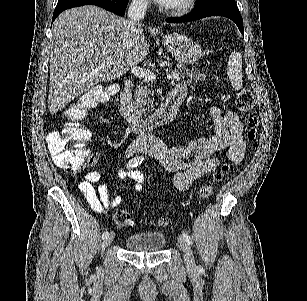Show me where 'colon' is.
Returning a JSON list of instances; mask_svg holds the SVG:
<instances>
[{
  "label": "colon",
  "instance_id": "1",
  "mask_svg": "<svg viewBox=\"0 0 307 301\" xmlns=\"http://www.w3.org/2000/svg\"><path fill=\"white\" fill-rule=\"evenodd\" d=\"M116 92L115 86L93 87L80 95L63 111L65 118L63 128L49 134L47 138L48 149L59 166L71 173H77L96 163V155L86 148L90 133L80 121L87 116L90 110L108 102ZM236 106L238 110L246 114V134L249 140H254L258 133V117L253 112L256 100L251 90L244 88L238 92ZM228 169V164H224L221 170L215 173L212 180L203 183L199 189V196L203 199L210 198L214 191V183L219 181ZM113 220L121 227L133 225L132 217L126 210H116L113 214ZM165 223V219H160L153 225H164Z\"/></svg>",
  "mask_w": 307,
  "mask_h": 301
}]
</instances>
